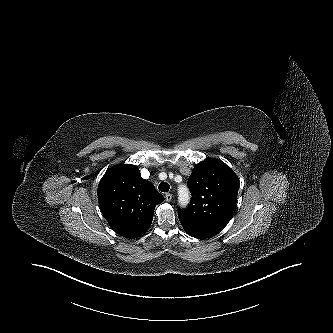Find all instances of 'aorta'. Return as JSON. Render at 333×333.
<instances>
[{
    "label": "aorta",
    "mask_w": 333,
    "mask_h": 333,
    "mask_svg": "<svg viewBox=\"0 0 333 333\" xmlns=\"http://www.w3.org/2000/svg\"><path fill=\"white\" fill-rule=\"evenodd\" d=\"M190 197H189V193L188 190L184 187H182L179 191V202L181 205H185L188 203Z\"/></svg>",
    "instance_id": "1"
}]
</instances>
